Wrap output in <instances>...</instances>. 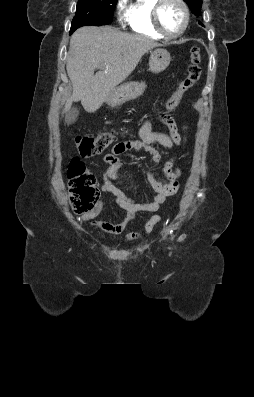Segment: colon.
<instances>
[{"label": "colon", "mask_w": 254, "mask_h": 397, "mask_svg": "<svg viewBox=\"0 0 254 397\" xmlns=\"http://www.w3.org/2000/svg\"><path fill=\"white\" fill-rule=\"evenodd\" d=\"M201 56L198 47L190 51V64L184 78L179 83L175 92L165 102V108L172 111L181 103L184 95L199 80L201 75ZM114 141V135L110 132H102L97 136L77 135L75 144L82 157H92L101 154ZM68 189L71 208L76 213L91 210L99 199V190L96 186L95 176L86 165L77 158L69 164Z\"/></svg>", "instance_id": "1"}]
</instances>
